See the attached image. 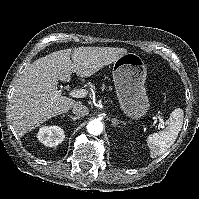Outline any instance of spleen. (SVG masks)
<instances>
[{
	"label": "spleen",
	"mask_w": 199,
	"mask_h": 199,
	"mask_svg": "<svg viewBox=\"0 0 199 199\" xmlns=\"http://www.w3.org/2000/svg\"><path fill=\"white\" fill-rule=\"evenodd\" d=\"M183 115V110L176 108L170 114L166 129L161 133H154L147 137L146 143L150 149L151 158L164 154L174 144L182 128Z\"/></svg>",
	"instance_id": "1"
}]
</instances>
